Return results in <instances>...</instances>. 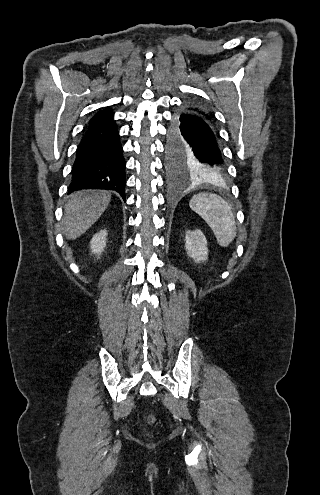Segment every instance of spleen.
Returning <instances> with one entry per match:
<instances>
[{"label":"spleen","instance_id":"spleen-1","mask_svg":"<svg viewBox=\"0 0 320 495\" xmlns=\"http://www.w3.org/2000/svg\"><path fill=\"white\" fill-rule=\"evenodd\" d=\"M189 205L211 228L217 243L221 247L229 246L237 230L230 205L222 197L213 193L194 195Z\"/></svg>","mask_w":320,"mask_h":495}]
</instances>
